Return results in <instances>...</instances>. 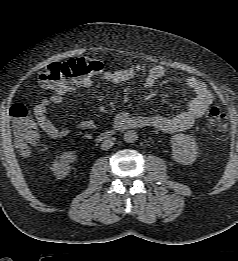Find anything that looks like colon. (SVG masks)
I'll return each instance as SVG.
<instances>
[{
    "label": "colon",
    "instance_id": "1",
    "mask_svg": "<svg viewBox=\"0 0 238 261\" xmlns=\"http://www.w3.org/2000/svg\"><path fill=\"white\" fill-rule=\"evenodd\" d=\"M102 69L103 64L99 60L89 57L72 58L50 64L40 75L39 81L47 89L66 92L74 82L97 74ZM10 115L17 147L23 156H28L32 147L39 141L36 125L31 119L28 109L22 104L12 106ZM208 123L216 140L221 141L227 137L226 114L219 107L209 110Z\"/></svg>",
    "mask_w": 238,
    "mask_h": 261
}]
</instances>
